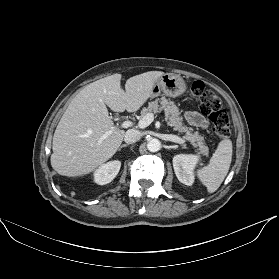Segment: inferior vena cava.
I'll return each instance as SVG.
<instances>
[{
  "label": "inferior vena cava",
  "mask_w": 279,
  "mask_h": 279,
  "mask_svg": "<svg viewBox=\"0 0 279 279\" xmlns=\"http://www.w3.org/2000/svg\"><path fill=\"white\" fill-rule=\"evenodd\" d=\"M141 138V134L138 130L129 129L124 136V141L127 144H133Z\"/></svg>",
  "instance_id": "602c4592"
}]
</instances>
